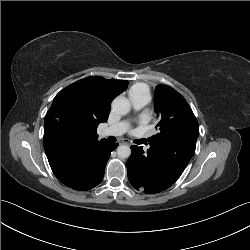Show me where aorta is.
<instances>
[{
  "mask_svg": "<svg viewBox=\"0 0 250 250\" xmlns=\"http://www.w3.org/2000/svg\"><path fill=\"white\" fill-rule=\"evenodd\" d=\"M112 110L114 113L118 115H126L130 111V103L127 99L122 97H117L112 102ZM117 154L120 158H128L131 155L130 147L126 145H120L117 148Z\"/></svg>",
  "mask_w": 250,
  "mask_h": 250,
  "instance_id": "obj_1",
  "label": "aorta"
}]
</instances>
